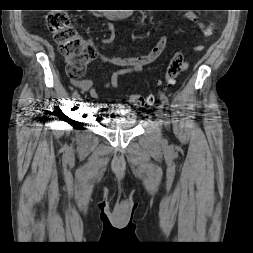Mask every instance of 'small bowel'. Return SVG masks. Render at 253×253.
I'll list each match as a JSON object with an SVG mask.
<instances>
[{"mask_svg":"<svg viewBox=\"0 0 253 253\" xmlns=\"http://www.w3.org/2000/svg\"><path fill=\"white\" fill-rule=\"evenodd\" d=\"M186 17L189 20L193 21L199 27V29L204 32V24L199 21L195 15L187 14ZM167 41V36L165 34H162L157 40L156 44L147 54L138 57H110L101 52L100 50H96V57H98L102 62L120 67L119 70L113 71L109 74L107 80L103 83V87L118 88L120 76L128 75L132 77L140 74L145 65L153 63L160 57V55L166 49ZM203 48L204 47L202 45H199L195 48V50L201 51L203 50ZM71 83L73 86L77 87L81 91L88 92L93 99H99L98 90L96 89L92 79L72 78Z\"/></svg>","mask_w":253,"mask_h":253,"instance_id":"small-bowel-1","label":"small bowel"}]
</instances>
